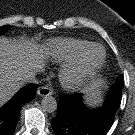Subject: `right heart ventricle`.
<instances>
[{
	"label": "right heart ventricle",
	"instance_id": "right-heart-ventricle-1",
	"mask_svg": "<svg viewBox=\"0 0 135 135\" xmlns=\"http://www.w3.org/2000/svg\"><path fill=\"white\" fill-rule=\"evenodd\" d=\"M90 42L81 39H55L48 45L47 55L56 62L74 61Z\"/></svg>",
	"mask_w": 135,
	"mask_h": 135
}]
</instances>
